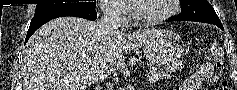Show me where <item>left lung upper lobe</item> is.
I'll use <instances>...</instances> for the list:
<instances>
[{
	"mask_svg": "<svg viewBox=\"0 0 237 90\" xmlns=\"http://www.w3.org/2000/svg\"><path fill=\"white\" fill-rule=\"evenodd\" d=\"M182 12L180 17L221 24L213 7L206 0H180Z\"/></svg>",
	"mask_w": 237,
	"mask_h": 90,
	"instance_id": "1",
	"label": "left lung upper lobe"
}]
</instances>
